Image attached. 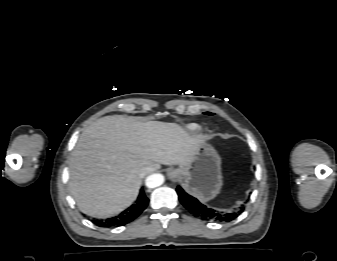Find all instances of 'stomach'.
I'll list each match as a JSON object with an SVG mask.
<instances>
[{"mask_svg": "<svg viewBox=\"0 0 337 261\" xmlns=\"http://www.w3.org/2000/svg\"><path fill=\"white\" fill-rule=\"evenodd\" d=\"M175 171L183 187L203 201L213 199L223 184L221 159L217 151L205 140L201 143L193 161Z\"/></svg>", "mask_w": 337, "mask_h": 261, "instance_id": "stomach-1", "label": "stomach"}]
</instances>
